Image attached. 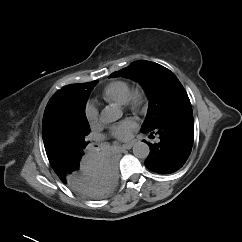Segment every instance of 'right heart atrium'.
Here are the masks:
<instances>
[{"instance_id":"right-heart-atrium-1","label":"right heart atrium","mask_w":242,"mask_h":242,"mask_svg":"<svg viewBox=\"0 0 242 242\" xmlns=\"http://www.w3.org/2000/svg\"><path fill=\"white\" fill-rule=\"evenodd\" d=\"M84 115L88 123L93 126L98 122L99 111L92 103H87L84 107Z\"/></svg>"}]
</instances>
